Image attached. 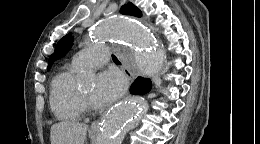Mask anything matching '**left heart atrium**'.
<instances>
[{
	"mask_svg": "<svg viewBox=\"0 0 260 144\" xmlns=\"http://www.w3.org/2000/svg\"><path fill=\"white\" fill-rule=\"evenodd\" d=\"M126 87V81L116 70L102 72L93 91L92 98L96 105H107L119 98Z\"/></svg>",
	"mask_w": 260,
	"mask_h": 144,
	"instance_id": "left-heart-atrium-1",
	"label": "left heart atrium"
}]
</instances>
